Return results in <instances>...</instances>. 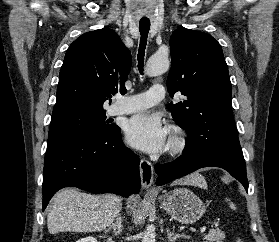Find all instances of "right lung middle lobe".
Wrapping results in <instances>:
<instances>
[{"instance_id":"dd1d6c3e","label":"right lung middle lobe","mask_w":279,"mask_h":242,"mask_svg":"<svg viewBox=\"0 0 279 242\" xmlns=\"http://www.w3.org/2000/svg\"><path fill=\"white\" fill-rule=\"evenodd\" d=\"M108 123L105 111L73 110L52 114L47 150L76 140L107 136L118 128Z\"/></svg>"}]
</instances>
